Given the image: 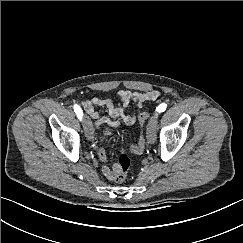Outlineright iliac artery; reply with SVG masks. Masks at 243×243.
<instances>
[{
	"label": "right iliac artery",
	"instance_id": "obj_1",
	"mask_svg": "<svg viewBox=\"0 0 243 243\" xmlns=\"http://www.w3.org/2000/svg\"><path fill=\"white\" fill-rule=\"evenodd\" d=\"M74 112L76 113L79 119H82L83 112L79 105H74Z\"/></svg>",
	"mask_w": 243,
	"mask_h": 243
}]
</instances>
